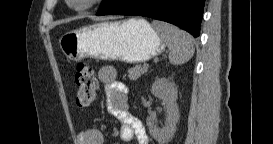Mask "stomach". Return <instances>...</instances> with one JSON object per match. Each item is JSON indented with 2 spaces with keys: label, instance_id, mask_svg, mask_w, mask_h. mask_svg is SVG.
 I'll use <instances>...</instances> for the list:
<instances>
[{
  "label": "stomach",
  "instance_id": "1",
  "mask_svg": "<svg viewBox=\"0 0 273 144\" xmlns=\"http://www.w3.org/2000/svg\"><path fill=\"white\" fill-rule=\"evenodd\" d=\"M59 45L69 60L93 58L133 64L148 61L166 46L158 31L142 18L85 25L62 35Z\"/></svg>",
  "mask_w": 273,
  "mask_h": 144
}]
</instances>
